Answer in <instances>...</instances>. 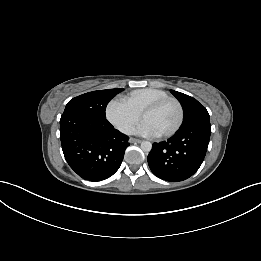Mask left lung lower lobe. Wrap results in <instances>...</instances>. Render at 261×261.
<instances>
[{
  "label": "left lung lower lobe",
  "mask_w": 261,
  "mask_h": 261,
  "mask_svg": "<svg viewBox=\"0 0 261 261\" xmlns=\"http://www.w3.org/2000/svg\"><path fill=\"white\" fill-rule=\"evenodd\" d=\"M210 134V122H198L181 127L167 141L153 143L148 155L151 171L171 182L191 177L204 160Z\"/></svg>",
  "instance_id": "0a47b994"
}]
</instances>
